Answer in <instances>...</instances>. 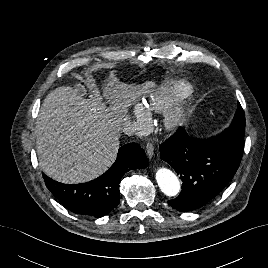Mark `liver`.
Instances as JSON below:
<instances>
[{
    "label": "liver",
    "instance_id": "6515ba94",
    "mask_svg": "<svg viewBox=\"0 0 268 268\" xmlns=\"http://www.w3.org/2000/svg\"><path fill=\"white\" fill-rule=\"evenodd\" d=\"M106 85L109 108L99 97L83 98L80 85L58 87L44 99L36 122V151L48 177L82 183L103 174L116 160L120 129L129 123L128 107L153 84L138 87L110 78Z\"/></svg>",
    "mask_w": 268,
    "mask_h": 268
}]
</instances>
